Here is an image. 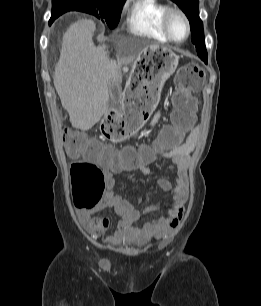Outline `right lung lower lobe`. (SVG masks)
Wrapping results in <instances>:
<instances>
[{
  "mask_svg": "<svg viewBox=\"0 0 261 306\" xmlns=\"http://www.w3.org/2000/svg\"><path fill=\"white\" fill-rule=\"evenodd\" d=\"M54 20H55V19H52V18H51L50 21H49V23L51 24Z\"/></svg>",
  "mask_w": 261,
  "mask_h": 306,
  "instance_id": "obj_1",
  "label": "right lung lower lobe"
}]
</instances>
